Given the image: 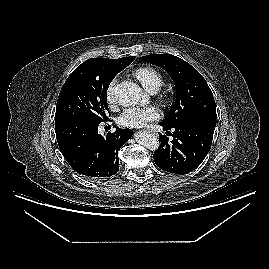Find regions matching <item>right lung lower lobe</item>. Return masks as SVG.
<instances>
[{"instance_id": "right-lung-lower-lobe-1", "label": "right lung lower lobe", "mask_w": 269, "mask_h": 269, "mask_svg": "<svg viewBox=\"0 0 269 269\" xmlns=\"http://www.w3.org/2000/svg\"><path fill=\"white\" fill-rule=\"evenodd\" d=\"M99 124L87 120L55 122L62 155L74 171L90 180L104 179L118 171V151L133 134L131 129L117 128L104 137L98 134Z\"/></svg>"}]
</instances>
